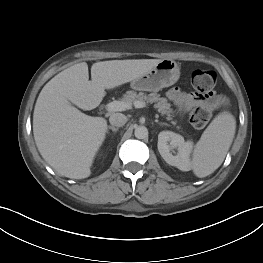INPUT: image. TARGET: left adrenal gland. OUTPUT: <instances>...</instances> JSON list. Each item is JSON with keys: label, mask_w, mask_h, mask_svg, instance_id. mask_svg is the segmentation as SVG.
I'll use <instances>...</instances> for the list:
<instances>
[{"label": "left adrenal gland", "mask_w": 263, "mask_h": 263, "mask_svg": "<svg viewBox=\"0 0 263 263\" xmlns=\"http://www.w3.org/2000/svg\"><path fill=\"white\" fill-rule=\"evenodd\" d=\"M156 122H158L157 120H156ZM160 125H168L167 123H159Z\"/></svg>", "instance_id": "a2214340"}]
</instances>
